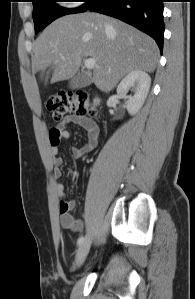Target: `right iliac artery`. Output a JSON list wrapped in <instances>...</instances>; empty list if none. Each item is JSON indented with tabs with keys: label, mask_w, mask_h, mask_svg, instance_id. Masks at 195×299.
Segmentation results:
<instances>
[{
	"label": "right iliac artery",
	"mask_w": 195,
	"mask_h": 299,
	"mask_svg": "<svg viewBox=\"0 0 195 299\" xmlns=\"http://www.w3.org/2000/svg\"><path fill=\"white\" fill-rule=\"evenodd\" d=\"M83 240H84V237L81 236V237L78 239L77 244H78V245H81V243L83 242Z\"/></svg>",
	"instance_id": "82829eb1"
}]
</instances>
